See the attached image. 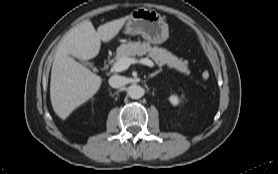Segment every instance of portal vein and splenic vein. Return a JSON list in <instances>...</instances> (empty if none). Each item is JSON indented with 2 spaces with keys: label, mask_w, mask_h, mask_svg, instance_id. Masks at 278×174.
<instances>
[{
  "label": "portal vein and splenic vein",
  "mask_w": 278,
  "mask_h": 174,
  "mask_svg": "<svg viewBox=\"0 0 278 174\" xmlns=\"http://www.w3.org/2000/svg\"><path fill=\"white\" fill-rule=\"evenodd\" d=\"M131 64H143V65H146V66H149V67H154V63L153 61H151L150 59L148 58H142V59H135V58H121L118 62H116L111 70L114 71V72H122L126 69L129 68V66Z\"/></svg>",
  "instance_id": "1"
}]
</instances>
